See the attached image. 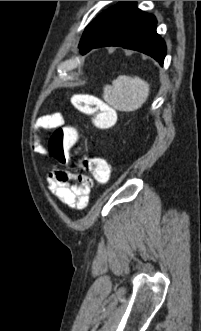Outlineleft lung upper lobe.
Segmentation results:
<instances>
[{"label": "left lung upper lobe", "instance_id": "obj_1", "mask_svg": "<svg viewBox=\"0 0 201 331\" xmlns=\"http://www.w3.org/2000/svg\"><path fill=\"white\" fill-rule=\"evenodd\" d=\"M113 8V7H112ZM108 9L105 12H103L101 15H99L95 20H93L85 29L83 36L81 38L80 43H82L89 35L90 33L95 29V27L98 25L100 20L112 9Z\"/></svg>", "mask_w": 201, "mask_h": 331}]
</instances>
